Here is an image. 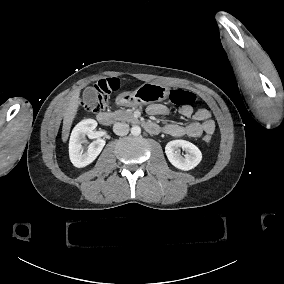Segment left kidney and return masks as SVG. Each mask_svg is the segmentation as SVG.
<instances>
[{"instance_id": "left-kidney-1", "label": "left kidney", "mask_w": 284, "mask_h": 284, "mask_svg": "<svg viewBox=\"0 0 284 284\" xmlns=\"http://www.w3.org/2000/svg\"><path fill=\"white\" fill-rule=\"evenodd\" d=\"M179 148L185 150L184 157ZM165 153L168 160L178 169L188 171L196 167L202 160V153L197 146L186 140H173L167 143Z\"/></svg>"}]
</instances>
